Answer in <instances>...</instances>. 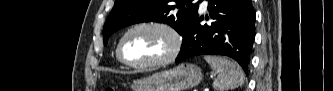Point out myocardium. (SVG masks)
<instances>
[{
    "label": "myocardium",
    "mask_w": 333,
    "mask_h": 91,
    "mask_svg": "<svg viewBox=\"0 0 333 91\" xmlns=\"http://www.w3.org/2000/svg\"><path fill=\"white\" fill-rule=\"evenodd\" d=\"M139 29H157L162 32H164L170 39L171 41V47L166 56H164L161 59L150 61V62H145V63H133L130 62L124 54V48H125V42L128 36L133 33L136 30ZM182 47V37L178 30L172 26L169 23L166 22H160V21H150V22H141L137 23L133 26H131L121 37L119 44H118V49H117V56L119 60L125 64L126 66L134 69H148V68H155V67H160L164 66L166 64H169L173 60L176 59V57L179 55L180 50Z\"/></svg>",
    "instance_id": "myocardium-1"
}]
</instances>
